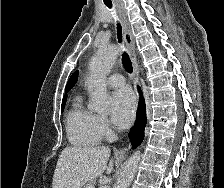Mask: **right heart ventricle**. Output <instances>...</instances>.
Listing matches in <instances>:
<instances>
[{"mask_svg": "<svg viewBox=\"0 0 224 188\" xmlns=\"http://www.w3.org/2000/svg\"><path fill=\"white\" fill-rule=\"evenodd\" d=\"M66 129L69 141L75 146H94L101 140L97 116L84 107L80 97L68 112Z\"/></svg>", "mask_w": 224, "mask_h": 188, "instance_id": "right-heart-ventricle-1", "label": "right heart ventricle"}]
</instances>
